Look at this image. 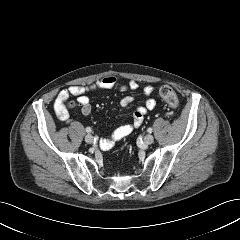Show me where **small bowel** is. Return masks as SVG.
Here are the masks:
<instances>
[{
	"mask_svg": "<svg viewBox=\"0 0 240 240\" xmlns=\"http://www.w3.org/2000/svg\"><path fill=\"white\" fill-rule=\"evenodd\" d=\"M114 87H118L121 91H134L137 90L139 86L138 83L133 80L129 81L127 84H119L118 79L114 76L103 77L89 85H74L60 92L57 99L55 100V112L61 119H67L68 114L63 107V102L68 98L69 95H73L78 97V103L81 108V113L83 115H89L91 113L92 107L90 99L86 96V94L90 91L100 89H112ZM153 90L154 89L151 85H147L143 88L144 95L148 97L144 105L138 107L133 112L132 119L129 123L119 126L108 136V138L101 141V146L103 148L112 147L114 142L128 136L134 129H137L142 125L145 114L149 110H152L156 104L155 100L150 97ZM133 101L134 98L132 96H125L121 99L120 104L122 107L126 108L130 104H132Z\"/></svg>",
	"mask_w": 240,
	"mask_h": 240,
	"instance_id": "obj_1",
	"label": "small bowel"
}]
</instances>
